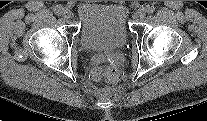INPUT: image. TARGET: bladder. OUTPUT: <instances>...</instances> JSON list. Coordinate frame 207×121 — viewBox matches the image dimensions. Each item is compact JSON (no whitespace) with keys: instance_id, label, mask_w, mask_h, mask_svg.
<instances>
[{"instance_id":"bladder-1","label":"bladder","mask_w":207,"mask_h":121,"mask_svg":"<svg viewBox=\"0 0 207 121\" xmlns=\"http://www.w3.org/2000/svg\"><path fill=\"white\" fill-rule=\"evenodd\" d=\"M80 42L86 51H113L128 39L129 10L124 3L84 2L77 8Z\"/></svg>"}]
</instances>
